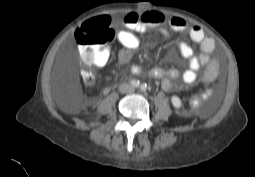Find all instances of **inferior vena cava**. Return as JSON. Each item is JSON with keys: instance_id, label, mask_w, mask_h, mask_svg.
<instances>
[{"instance_id": "obj_1", "label": "inferior vena cava", "mask_w": 255, "mask_h": 177, "mask_svg": "<svg viewBox=\"0 0 255 177\" xmlns=\"http://www.w3.org/2000/svg\"><path fill=\"white\" fill-rule=\"evenodd\" d=\"M121 93H132L134 91V87L128 83H123L120 86Z\"/></svg>"}]
</instances>
